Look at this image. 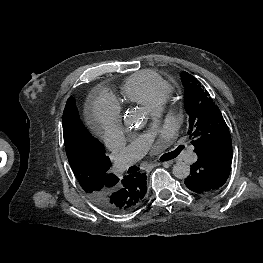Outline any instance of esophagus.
I'll return each instance as SVG.
<instances>
[{
  "instance_id": "obj_1",
  "label": "esophagus",
  "mask_w": 263,
  "mask_h": 263,
  "mask_svg": "<svg viewBox=\"0 0 263 263\" xmlns=\"http://www.w3.org/2000/svg\"><path fill=\"white\" fill-rule=\"evenodd\" d=\"M165 163L170 164L171 162H156V163L150 164V165L147 167V170H151L152 168H154V167H156V166H159V165H162V164H165Z\"/></svg>"
}]
</instances>
